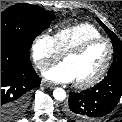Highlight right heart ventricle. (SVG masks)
<instances>
[{
    "instance_id": "1",
    "label": "right heart ventricle",
    "mask_w": 122,
    "mask_h": 122,
    "mask_svg": "<svg viewBox=\"0 0 122 122\" xmlns=\"http://www.w3.org/2000/svg\"><path fill=\"white\" fill-rule=\"evenodd\" d=\"M53 37L58 51L64 54L88 39L102 37V34L92 24L78 23L58 29Z\"/></svg>"
}]
</instances>
